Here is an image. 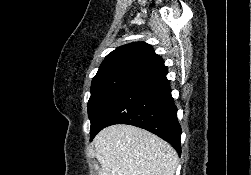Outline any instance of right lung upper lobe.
I'll return each mask as SVG.
<instances>
[{"mask_svg":"<svg viewBox=\"0 0 251 175\" xmlns=\"http://www.w3.org/2000/svg\"><path fill=\"white\" fill-rule=\"evenodd\" d=\"M167 68L161 56L145 42L118 47L102 62L92 82L116 76H131L138 80L165 74Z\"/></svg>","mask_w":251,"mask_h":175,"instance_id":"obj_1","label":"right lung upper lobe"}]
</instances>
